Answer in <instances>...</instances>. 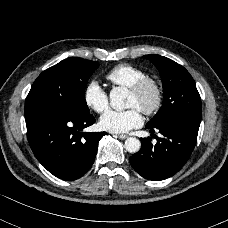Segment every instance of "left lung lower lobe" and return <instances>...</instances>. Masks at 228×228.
<instances>
[{"label": "left lung lower lobe", "instance_id": "left-lung-lower-lobe-1", "mask_svg": "<svg viewBox=\"0 0 228 228\" xmlns=\"http://www.w3.org/2000/svg\"><path fill=\"white\" fill-rule=\"evenodd\" d=\"M199 126V120L183 116L167 119L155 127L146 126L150 133L156 128L163 136L156 137L155 145L150 137L141 138L140 151L129 158L131 166L148 180L159 181L174 175L188 161Z\"/></svg>", "mask_w": 228, "mask_h": 228}]
</instances>
